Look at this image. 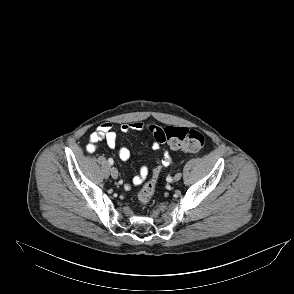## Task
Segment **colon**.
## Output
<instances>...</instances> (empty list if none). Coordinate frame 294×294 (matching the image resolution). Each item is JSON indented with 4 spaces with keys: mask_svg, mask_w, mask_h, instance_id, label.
Segmentation results:
<instances>
[{
    "mask_svg": "<svg viewBox=\"0 0 294 294\" xmlns=\"http://www.w3.org/2000/svg\"><path fill=\"white\" fill-rule=\"evenodd\" d=\"M156 141L167 143L173 149H180L188 152H199L205 146L204 135L194 129L185 127L167 126L164 128L154 125L148 126ZM159 169H155L150 179L144 184L138 193V201L141 205H147L155 192Z\"/></svg>",
    "mask_w": 294,
    "mask_h": 294,
    "instance_id": "colon-1",
    "label": "colon"
}]
</instances>
